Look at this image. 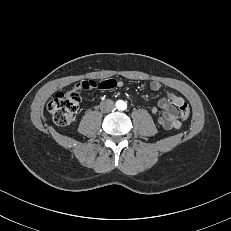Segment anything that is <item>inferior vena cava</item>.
I'll list each match as a JSON object with an SVG mask.
<instances>
[{
	"mask_svg": "<svg viewBox=\"0 0 231 231\" xmlns=\"http://www.w3.org/2000/svg\"><path fill=\"white\" fill-rule=\"evenodd\" d=\"M100 109L104 112H109L114 109V102L110 99H106L100 103Z\"/></svg>",
	"mask_w": 231,
	"mask_h": 231,
	"instance_id": "inferior-vena-cava-1",
	"label": "inferior vena cava"
}]
</instances>
